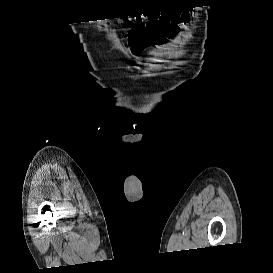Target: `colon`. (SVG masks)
Returning <instances> with one entry per match:
<instances>
[{"label": "colon", "instance_id": "obj_1", "mask_svg": "<svg viewBox=\"0 0 273 273\" xmlns=\"http://www.w3.org/2000/svg\"><path fill=\"white\" fill-rule=\"evenodd\" d=\"M149 34V26L144 22L130 23L129 38L132 42H139Z\"/></svg>", "mask_w": 273, "mask_h": 273}]
</instances>
